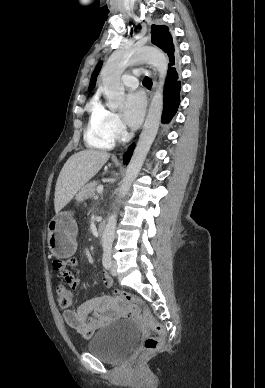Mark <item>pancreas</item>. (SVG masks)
Listing matches in <instances>:
<instances>
[{"mask_svg":"<svg viewBox=\"0 0 265 388\" xmlns=\"http://www.w3.org/2000/svg\"><path fill=\"white\" fill-rule=\"evenodd\" d=\"M96 186H98V182H90V184L83 186L76 196L77 202H83V200H89V198L95 196Z\"/></svg>","mask_w":265,"mask_h":388,"instance_id":"cf45deb5","label":"pancreas"}]
</instances>
